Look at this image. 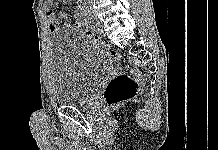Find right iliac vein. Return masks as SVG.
<instances>
[{
	"instance_id": "63e3f726",
	"label": "right iliac vein",
	"mask_w": 218,
	"mask_h": 150,
	"mask_svg": "<svg viewBox=\"0 0 218 150\" xmlns=\"http://www.w3.org/2000/svg\"><path fill=\"white\" fill-rule=\"evenodd\" d=\"M84 13L95 23L97 27H101V22L95 17L89 7H84Z\"/></svg>"
}]
</instances>
